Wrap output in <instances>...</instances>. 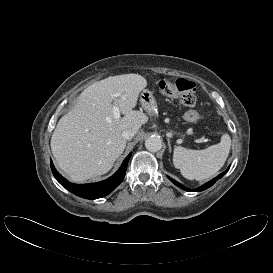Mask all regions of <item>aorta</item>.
Segmentation results:
<instances>
[{"mask_svg": "<svg viewBox=\"0 0 273 273\" xmlns=\"http://www.w3.org/2000/svg\"><path fill=\"white\" fill-rule=\"evenodd\" d=\"M145 147L150 152H157L162 148V140L158 136H151L145 140Z\"/></svg>", "mask_w": 273, "mask_h": 273, "instance_id": "obj_1", "label": "aorta"}]
</instances>
